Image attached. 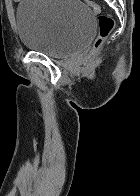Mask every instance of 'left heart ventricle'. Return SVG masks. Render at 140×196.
Masks as SVG:
<instances>
[{"label":"left heart ventricle","mask_w":140,"mask_h":196,"mask_svg":"<svg viewBox=\"0 0 140 196\" xmlns=\"http://www.w3.org/2000/svg\"><path fill=\"white\" fill-rule=\"evenodd\" d=\"M44 192H55V191H44Z\"/></svg>","instance_id":"left-heart-ventricle-1"}]
</instances>
